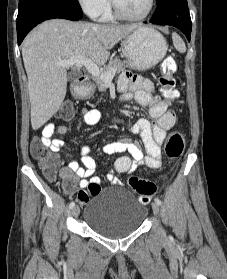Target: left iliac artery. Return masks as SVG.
<instances>
[{
    "mask_svg": "<svg viewBox=\"0 0 227 279\" xmlns=\"http://www.w3.org/2000/svg\"><path fill=\"white\" fill-rule=\"evenodd\" d=\"M155 202L159 205L161 204V200L159 198H155Z\"/></svg>",
    "mask_w": 227,
    "mask_h": 279,
    "instance_id": "obj_1",
    "label": "left iliac artery"
}]
</instances>
